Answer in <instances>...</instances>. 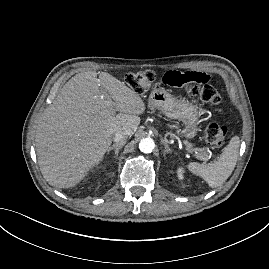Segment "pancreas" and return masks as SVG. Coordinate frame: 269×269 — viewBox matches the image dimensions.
<instances>
[{
	"label": "pancreas",
	"mask_w": 269,
	"mask_h": 269,
	"mask_svg": "<svg viewBox=\"0 0 269 269\" xmlns=\"http://www.w3.org/2000/svg\"><path fill=\"white\" fill-rule=\"evenodd\" d=\"M187 149L192 150L193 152H195V156L197 159L202 160V161H207L208 160V155L207 152L204 149H201V152H197V149L193 148V146L191 144H187Z\"/></svg>",
	"instance_id": "cf45deb5"
}]
</instances>
